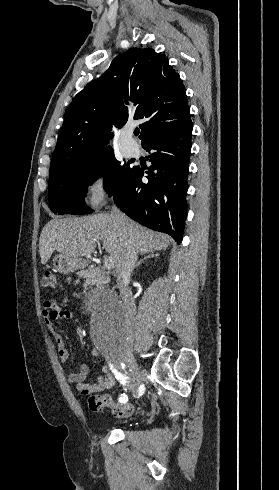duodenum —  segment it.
I'll return each mask as SVG.
<instances>
[{"instance_id":"1","label":"duodenum","mask_w":279,"mask_h":490,"mask_svg":"<svg viewBox=\"0 0 279 490\" xmlns=\"http://www.w3.org/2000/svg\"><path fill=\"white\" fill-rule=\"evenodd\" d=\"M91 303H92V294H87L83 299H82V310L85 313H89L91 310Z\"/></svg>"}]
</instances>
